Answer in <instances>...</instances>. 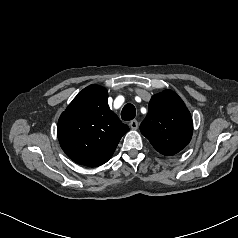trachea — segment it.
<instances>
[{
  "label": "trachea",
  "mask_w": 238,
  "mask_h": 238,
  "mask_svg": "<svg viewBox=\"0 0 238 238\" xmlns=\"http://www.w3.org/2000/svg\"><path fill=\"white\" fill-rule=\"evenodd\" d=\"M136 116V109L132 104H126L121 111V118L130 121Z\"/></svg>",
  "instance_id": "1"
}]
</instances>
